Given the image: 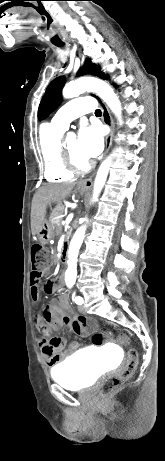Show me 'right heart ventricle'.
Returning <instances> with one entry per match:
<instances>
[{
    "label": "right heart ventricle",
    "mask_w": 165,
    "mask_h": 461,
    "mask_svg": "<svg viewBox=\"0 0 165 461\" xmlns=\"http://www.w3.org/2000/svg\"><path fill=\"white\" fill-rule=\"evenodd\" d=\"M64 130L44 124L39 132V149L43 160L44 177L48 182L71 180L73 174L62 163L60 139Z\"/></svg>",
    "instance_id": "1"
}]
</instances>
